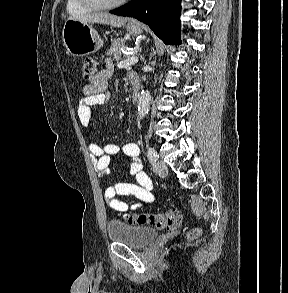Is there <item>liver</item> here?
Segmentation results:
<instances>
[{"mask_svg":"<svg viewBox=\"0 0 288 293\" xmlns=\"http://www.w3.org/2000/svg\"><path fill=\"white\" fill-rule=\"evenodd\" d=\"M68 19L71 20H79L84 23H99V24H106L114 27H121L123 26L127 18L120 17L116 15H112L106 12L101 13H91V14H73Z\"/></svg>","mask_w":288,"mask_h":293,"instance_id":"obj_1","label":"liver"}]
</instances>
